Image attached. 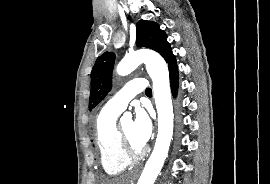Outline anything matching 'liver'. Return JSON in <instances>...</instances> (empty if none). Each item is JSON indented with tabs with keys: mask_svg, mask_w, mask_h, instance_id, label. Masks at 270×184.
<instances>
[{
	"mask_svg": "<svg viewBox=\"0 0 270 184\" xmlns=\"http://www.w3.org/2000/svg\"><path fill=\"white\" fill-rule=\"evenodd\" d=\"M130 177H121L117 179L106 180L103 184H128Z\"/></svg>",
	"mask_w": 270,
	"mask_h": 184,
	"instance_id": "obj_1",
	"label": "liver"
}]
</instances>
